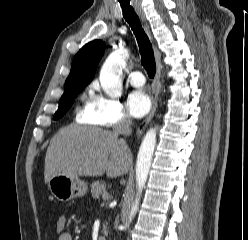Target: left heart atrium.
Listing matches in <instances>:
<instances>
[{"label":"left heart atrium","instance_id":"39dd6f15","mask_svg":"<svg viewBox=\"0 0 248 240\" xmlns=\"http://www.w3.org/2000/svg\"><path fill=\"white\" fill-rule=\"evenodd\" d=\"M127 107L133 117L140 118L150 110L151 101L143 90H135L128 96Z\"/></svg>","mask_w":248,"mask_h":240}]
</instances>
